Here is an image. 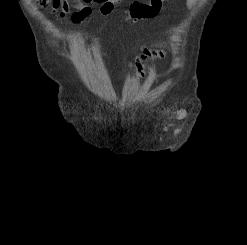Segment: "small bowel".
Masks as SVG:
<instances>
[{"label": "small bowel", "mask_w": 247, "mask_h": 245, "mask_svg": "<svg viewBox=\"0 0 247 245\" xmlns=\"http://www.w3.org/2000/svg\"><path fill=\"white\" fill-rule=\"evenodd\" d=\"M76 11L71 14L72 23H81L91 13L90 4L93 0H72ZM164 0H150L148 3L134 2L128 10L130 18L144 19L155 17L161 7ZM198 0H187V5L192 8L196 5ZM53 11L57 13L59 17H65L69 14L70 3L69 0H52Z\"/></svg>", "instance_id": "small-bowel-1"}]
</instances>
